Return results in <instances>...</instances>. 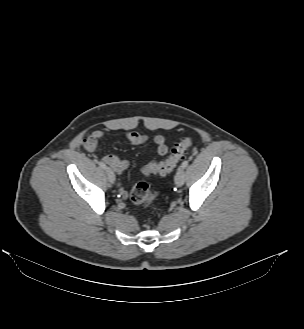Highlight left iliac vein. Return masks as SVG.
<instances>
[{
    "label": "left iliac vein",
    "mask_w": 304,
    "mask_h": 329,
    "mask_svg": "<svg viewBox=\"0 0 304 329\" xmlns=\"http://www.w3.org/2000/svg\"><path fill=\"white\" fill-rule=\"evenodd\" d=\"M184 177H185V172H184V168L180 167L176 174H175V184L178 186V187H181L183 184H184Z\"/></svg>",
    "instance_id": "4c4485c4"
}]
</instances>
